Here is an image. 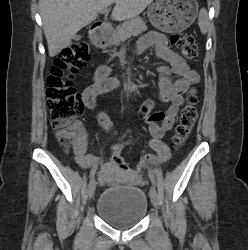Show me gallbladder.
Returning a JSON list of instances; mask_svg holds the SVG:
<instances>
[{
    "instance_id": "bac80fb5",
    "label": "gallbladder",
    "mask_w": 248,
    "mask_h": 250,
    "mask_svg": "<svg viewBox=\"0 0 248 250\" xmlns=\"http://www.w3.org/2000/svg\"><path fill=\"white\" fill-rule=\"evenodd\" d=\"M80 38H81V36H80V35H75L73 39H75V40H79Z\"/></svg>"
}]
</instances>
